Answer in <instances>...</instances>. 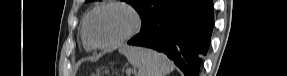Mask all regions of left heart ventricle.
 <instances>
[{"label":"left heart ventricle","instance_id":"left-heart-ventricle-1","mask_svg":"<svg viewBox=\"0 0 287 76\" xmlns=\"http://www.w3.org/2000/svg\"><path fill=\"white\" fill-rule=\"evenodd\" d=\"M130 15L120 8H106L90 20L89 32L97 43H109L122 35L131 25Z\"/></svg>","mask_w":287,"mask_h":76}]
</instances>
